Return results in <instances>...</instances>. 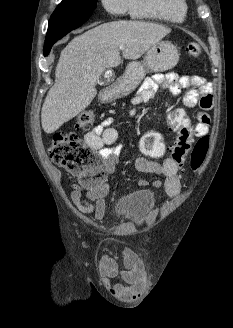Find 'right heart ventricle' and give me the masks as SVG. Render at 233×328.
<instances>
[{
	"instance_id": "right-heart-ventricle-1",
	"label": "right heart ventricle",
	"mask_w": 233,
	"mask_h": 328,
	"mask_svg": "<svg viewBox=\"0 0 233 328\" xmlns=\"http://www.w3.org/2000/svg\"><path fill=\"white\" fill-rule=\"evenodd\" d=\"M127 11L133 18L181 23L185 20V0H127Z\"/></svg>"
}]
</instances>
